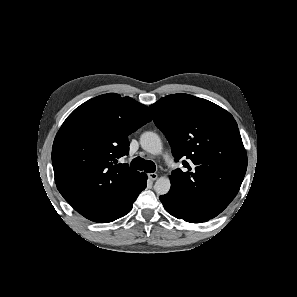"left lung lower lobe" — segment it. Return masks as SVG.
I'll return each mask as SVG.
<instances>
[{"label": "left lung lower lobe", "instance_id": "0a47b994", "mask_svg": "<svg viewBox=\"0 0 297 297\" xmlns=\"http://www.w3.org/2000/svg\"><path fill=\"white\" fill-rule=\"evenodd\" d=\"M160 200L169 214L178 219H183L186 222L202 223L212 219L189 205L184 204L180 197L173 193L169 192L168 194L161 196Z\"/></svg>", "mask_w": 297, "mask_h": 297}]
</instances>
